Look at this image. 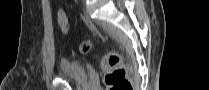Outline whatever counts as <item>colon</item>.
Masks as SVG:
<instances>
[{
    "label": "colon",
    "mask_w": 209,
    "mask_h": 90,
    "mask_svg": "<svg viewBox=\"0 0 209 90\" xmlns=\"http://www.w3.org/2000/svg\"><path fill=\"white\" fill-rule=\"evenodd\" d=\"M57 21L60 30L67 33L69 30V20L63 9L57 14ZM83 53L92 50L89 42H83L80 46ZM100 66L105 74V83L108 90H132L133 86L127 76V70L123 62L122 55L117 52H107L100 60Z\"/></svg>",
    "instance_id": "5ec220e1"
}]
</instances>
